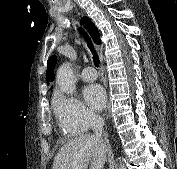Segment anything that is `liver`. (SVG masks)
Listing matches in <instances>:
<instances>
[{
	"label": "liver",
	"mask_w": 177,
	"mask_h": 169,
	"mask_svg": "<svg viewBox=\"0 0 177 169\" xmlns=\"http://www.w3.org/2000/svg\"><path fill=\"white\" fill-rule=\"evenodd\" d=\"M108 141L92 134L81 135L69 140L54 158L52 169H103Z\"/></svg>",
	"instance_id": "liver-1"
}]
</instances>
